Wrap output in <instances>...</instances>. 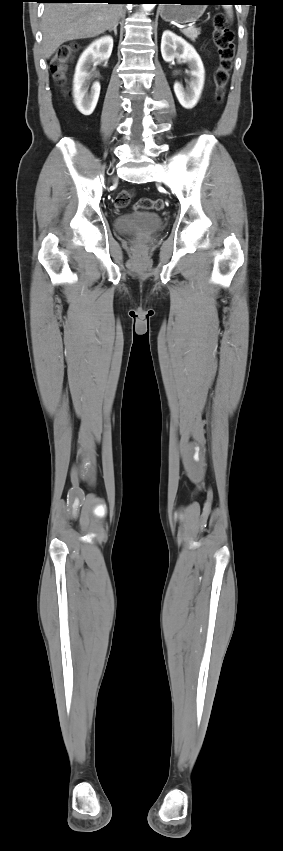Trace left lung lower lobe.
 Returning <instances> with one entry per match:
<instances>
[{"label":"left lung lower lobe","mask_w":283,"mask_h":851,"mask_svg":"<svg viewBox=\"0 0 283 851\" xmlns=\"http://www.w3.org/2000/svg\"><path fill=\"white\" fill-rule=\"evenodd\" d=\"M168 1L169 0H143V2H145V3H156V4L167 3ZM213 1L215 3L223 4V3L237 2L238 0H213Z\"/></svg>","instance_id":"left-lung-lower-lobe-1"}]
</instances>
